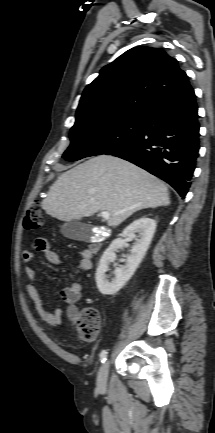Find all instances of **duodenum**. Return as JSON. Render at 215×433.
<instances>
[{
    "label": "duodenum",
    "mask_w": 215,
    "mask_h": 433,
    "mask_svg": "<svg viewBox=\"0 0 215 433\" xmlns=\"http://www.w3.org/2000/svg\"><path fill=\"white\" fill-rule=\"evenodd\" d=\"M102 240H103L102 236H99V238L97 239H91L89 249L92 253L98 252L100 250Z\"/></svg>",
    "instance_id": "duodenum-1"
}]
</instances>
